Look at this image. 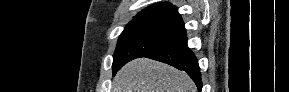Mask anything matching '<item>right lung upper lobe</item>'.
<instances>
[{"label": "right lung upper lobe", "mask_w": 289, "mask_h": 92, "mask_svg": "<svg viewBox=\"0 0 289 92\" xmlns=\"http://www.w3.org/2000/svg\"><path fill=\"white\" fill-rule=\"evenodd\" d=\"M133 20H152L183 25L178 9L170 3H157L139 12Z\"/></svg>", "instance_id": "right-lung-upper-lobe-1"}]
</instances>
